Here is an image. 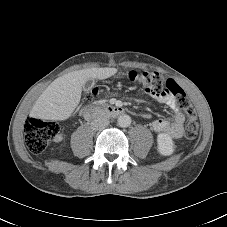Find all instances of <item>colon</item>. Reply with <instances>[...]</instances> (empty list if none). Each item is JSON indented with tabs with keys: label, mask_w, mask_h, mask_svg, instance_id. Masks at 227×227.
Here are the masks:
<instances>
[{
	"label": "colon",
	"mask_w": 227,
	"mask_h": 227,
	"mask_svg": "<svg viewBox=\"0 0 227 227\" xmlns=\"http://www.w3.org/2000/svg\"><path fill=\"white\" fill-rule=\"evenodd\" d=\"M128 79L141 87L151 90L167 89L169 94L175 98L178 108L187 113L188 120L186 124V137L194 139L199 131V120L194 107L188 99L185 91L173 80H165L157 72H137L130 71ZM98 93L95 89L89 94L92 98ZM60 131L59 125L56 122L44 121L37 118H30L24 125L25 143L27 148L33 154L42 153L50 140L58 136Z\"/></svg>",
	"instance_id": "obj_1"
}]
</instances>
